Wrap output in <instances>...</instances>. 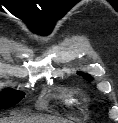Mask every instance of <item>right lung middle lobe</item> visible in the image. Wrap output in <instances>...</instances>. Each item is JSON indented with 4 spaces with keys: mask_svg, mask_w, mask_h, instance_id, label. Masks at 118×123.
<instances>
[{
    "mask_svg": "<svg viewBox=\"0 0 118 123\" xmlns=\"http://www.w3.org/2000/svg\"><path fill=\"white\" fill-rule=\"evenodd\" d=\"M23 98V92L16 90H5L0 93V109L15 105Z\"/></svg>",
    "mask_w": 118,
    "mask_h": 123,
    "instance_id": "dd1d6c3e",
    "label": "right lung middle lobe"
}]
</instances>
